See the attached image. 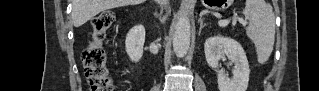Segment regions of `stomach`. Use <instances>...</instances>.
<instances>
[{
  "label": "stomach",
  "mask_w": 319,
  "mask_h": 91,
  "mask_svg": "<svg viewBox=\"0 0 319 91\" xmlns=\"http://www.w3.org/2000/svg\"><path fill=\"white\" fill-rule=\"evenodd\" d=\"M206 6H211L210 8L216 10H223L228 6L227 0H216V1H205Z\"/></svg>",
  "instance_id": "obj_1"
}]
</instances>
